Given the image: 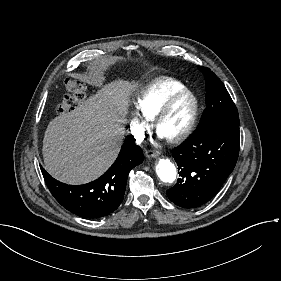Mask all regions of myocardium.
Listing matches in <instances>:
<instances>
[{
  "label": "myocardium",
  "instance_id": "myocardium-1",
  "mask_svg": "<svg viewBox=\"0 0 281 281\" xmlns=\"http://www.w3.org/2000/svg\"><path fill=\"white\" fill-rule=\"evenodd\" d=\"M184 96H189L193 100V107L190 112V115L186 121V123L183 125V127L174 135L170 137L163 138L159 134V126L166 115V113L169 111V109L172 107V105L179 100L180 98ZM199 112V102L195 94L189 90H183L181 92H178L177 94L171 96L168 98L158 109L157 111L149 118L150 119V127L155 132V134L159 137L165 140L169 144H178L182 142L193 130L195 123L197 121Z\"/></svg>",
  "mask_w": 281,
  "mask_h": 281
}]
</instances>
